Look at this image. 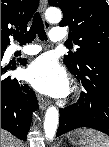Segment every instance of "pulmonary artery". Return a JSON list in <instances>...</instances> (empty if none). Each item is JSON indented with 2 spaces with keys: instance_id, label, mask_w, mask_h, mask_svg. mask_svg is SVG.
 <instances>
[{
  "instance_id": "1",
  "label": "pulmonary artery",
  "mask_w": 109,
  "mask_h": 147,
  "mask_svg": "<svg viewBox=\"0 0 109 147\" xmlns=\"http://www.w3.org/2000/svg\"><path fill=\"white\" fill-rule=\"evenodd\" d=\"M49 39L52 42H63L65 39V35L62 32L52 31L49 33ZM19 50H21L22 53L25 55H35L38 54L42 49L39 45H29L23 49L15 47L13 51L15 52Z\"/></svg>"
}]
</instances>
